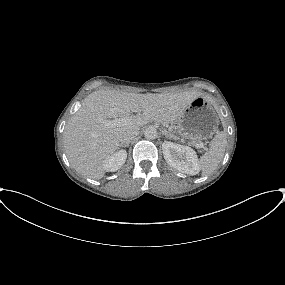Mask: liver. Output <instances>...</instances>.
<instances>
[{
	"label": "liver",
	"instance_id": "obj_1",
	"mask_svg": "<svg viewBox=\"0 0 285 285\" xmlns=\"http://www.w3.org/2000/svg\"><path fill=\"white\" fill-rule=\"evenodd\" d=\"M201 93L184 91L161 94H137L116 90H99L89 94L80 109L67 122L63 133L65 153L80 174L99 180L104 177V164L119 147V135L131 130L139 133L149 122L168 125L176 121L186 107ZM143 111L130 117L132 112ZM131 118L118 126L103 122Z\"/></svg>",
	"mask_w": 285,
	"mask_h": 285
}]
</instances>
